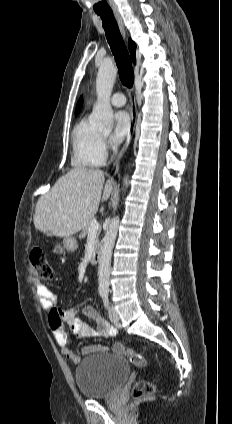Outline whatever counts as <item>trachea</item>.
<instances>
[{
    "label": "trachea",
    "instance_id": "3493384b",
    "mask_svg": "<svg viewBox=\"0 0 232 424\" xmlns=\"http://www.w3.org/2000/svg\"><path fill=\"white\" fill-rule=\"evenodd\" d=\"M97 15L102 19L106 38L118 67L120 80L124 86L131 88L134 82L132 63L114 15L112 12H97Z\"/></svg>",
    "mask_w": 232,
    "mask_h": 424
}]
</instances>
